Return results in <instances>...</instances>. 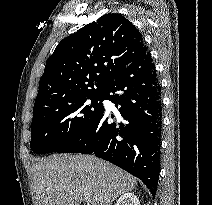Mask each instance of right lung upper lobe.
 I'll list each match as a JSON object with an SVG mask.
<instances>
[{
  "instance_id": "cb5924a9",
  "label": "right lung upper lobe",
  "mask_w": 212,
  "mask_h": 205,
  "mask_svg": "<svg viewBox=\"0 0 212 205\" xmlns=\"http://www.w3.org/2000/svg\"><path fill=\"white\" fill-rule=\"evenodd\" d=\"M147 52L128 19L103 15L58 44L46 62L33 112L103 93L118 73Z\"/></svg>"
}]
</instances>
